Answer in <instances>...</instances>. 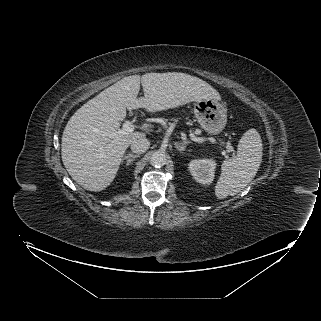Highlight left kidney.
I'll use <instances>...</instances> for the list:
<instances>
[{
    "label": "left kidney",
    "instance_id": "left-kidney-1",
    "mask_svg": "<svg viewBox=\"0 0 321 321\" xmlns=\"http://www.w3.org/2000/svg\"><path fill=\"white\" fill-rule=\"evenodd\" d=\"M216 162L213 159H195L189 162V171L201 184H211L214 179Z\"/></svg>",
    "mask_w": 321,
    "mask_h": 321
}]
</instances>
